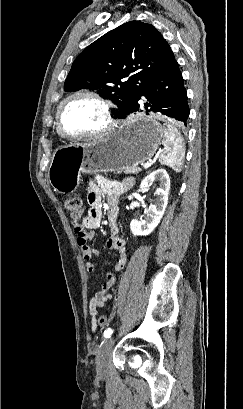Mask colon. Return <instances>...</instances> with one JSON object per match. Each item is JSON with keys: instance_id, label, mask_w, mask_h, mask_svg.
Masks as SVG:
<instances>
[{"instance_id": "5ec220e1", "label": "colon", "mask_w": 243, "mask_h": 409, "mask_svg": "<svg viewBox=\"0 0 243 409\" xmlns=\"http://www.w3.org/2000/svg\"><path fill=\"white\" fill-rule=\"evenodd\" d=\"M65 208L72 220L75 222V233L77 234V236H85L87 232L86 229L83 225L78 223V221L81 220L83 216V207L81 200L77 197H69L65 200ZM98 324L101 327H106L108 325L107 317L101 315L98 318Z\"/></svg>"}]
</instances>
